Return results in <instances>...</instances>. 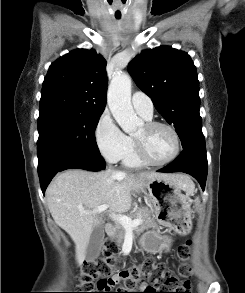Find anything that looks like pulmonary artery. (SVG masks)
<instances>
[{
  "label": "pulmonary artery",
  "instance_id": "e3ab8cb5",
  "mask_svg": "<svg viewBox=\"0 0 245 293\" xmlns=\"http://www.w3.org/2000/svg\"><path fill=\"white\" fill-rule=\"evenodd\" d=\"M132 105L137 114L149 120L153 115V102L151 98L143 92H135L132 96Z\"/></svg>",
  "mask_w": 245,
  "mask_h": 293
}]
</instances>
